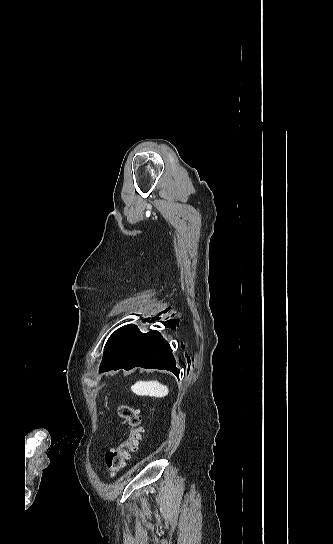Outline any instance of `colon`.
Masks as SVG:
<instances>
[{
	"mask_svg": "<svg viewBox=\"0 0 333 544\" xmlns=\"http://www.w3.org/2000/svg\"><path fill=\"white\" fill-rule=\"evenodd\" d=\"M118 416L124 420L128 426V436L118 447L110 449L105 454V463L110 476H115L121 472L130 456L137 450L138 444L142 438L141 416L139 411L133 406L122 404L116 408Z\"/></svg>",
	"mask_w": 333,
	"mask_h": 544,
	"instance_id": "5ec220e1",
	"label": "colon"
}]
</instances>
